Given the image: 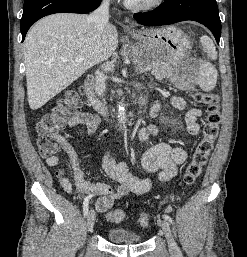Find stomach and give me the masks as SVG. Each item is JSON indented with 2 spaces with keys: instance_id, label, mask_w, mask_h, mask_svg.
I'll use <instances>...</instances> for the list:
<instances>
[{
  "instance_id": "obj_1",
  "label": "stomach",
  "mask_w": 247,
  "mask_h": 257,
  "mask_svg": "<svg viewBox=\"0 0 247 257\" xmlns=\"http://www.w3.org/2000/svg\"><path fill=\"white\" fill-rule=\"evenodd\" d=\"M131 36L136 41V53L133 57L137 63L145 67L154 63L174 65L189 53L190 45L187 36L173 26L139 30L131 33ZM170 76L175 80L173 71Z\"/></svg>"
}]
</instances>
